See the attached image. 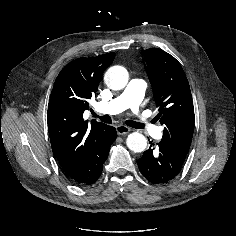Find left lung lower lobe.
<instances>
[{
	"instance_id": "obj_1",
	"label": "left lung lower lobe",
	"mask_w": 236,
	"mask_h": 236,
	"mask_svg": "<svg viewBox=\"0 0 236 236\" xmlns=\"http://www.w3.org/2000/svg\"><path fill=\"white\" fill-rule=\"evenodd\" d=\"M138 159L142 175L151 183L160 184L174 178L182 168L185 157L179 155L161 142L154 143Z\"/></svg>"
}]
</instances>
